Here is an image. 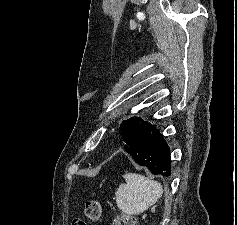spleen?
Wrapping results in <instances>:
<instances>
[{
    "label": "spleen",
    "mask_w": 237,
    "mask_h": 225,
    "mask_svg": "<svg viewBox=\"0 0 237 225\" xmlns=\"http://www.w3.org/2000/svg\"><path fill=\"white\" fill-rule=\"evenodd\" d=\"M123 178L125 184L119 186L115 195L118 208L126 214H141L162 197L163 188L158 181L136 173H127Z\"/></svg>",
    "instance_id": "3e777b00"
}]
</instances>
